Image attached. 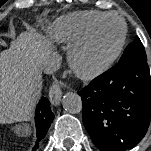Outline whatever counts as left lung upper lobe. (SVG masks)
<instances>
[{
  "label": "left lung upper lobe",
  "mask_w": 151,
  "mask_h": 151,
  "mask_svg": "<svg viewBox=\"0 0 151 151\" xmlns=\"http://www.w3.org/2000/svg\"><path fill=\"white\" fill-rule=\"evenodd\" d=\"M137 58L147 60L145 48L142 42L140 41L139 37H136L134 41L126 47L118 64H122V63L130 61L132 59H137Z\"/></svg>",
  "instance_id": "left-lung-upper-lobe-1"
}]
</instances>
